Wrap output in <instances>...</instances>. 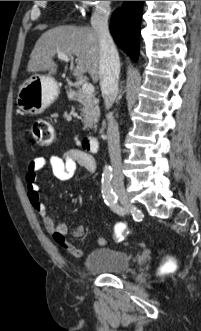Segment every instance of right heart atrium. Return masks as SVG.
<instances>
[{"label":"right heart atrium","mask_w":201,"mask_h":331,"mask_svg":"<svg viewBox=\"0 0 201 331\" xmlns=\"http://www.w3.org/2000/svg\"><path fill=\"white\" fill-rule=\"evenodd\" d=\"M111 1H79L81 16L86 19H102L108 16Z\"/></svg>","instance_id":"right-heart-atrium-1"}]
</instances>
